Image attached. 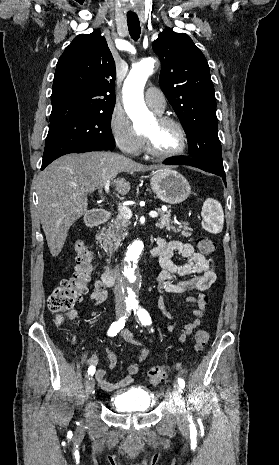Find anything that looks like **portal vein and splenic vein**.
<instances>
[{
	"label": "portal vein and splenic vein",
	"instance_id": "portal-vein-and-splenic-vein-1",
	"mask_svg": "<svg viewBox=\"0 0 279 465\" xmlns=\"http://www.w3.org/2000/svg\"><path fill=\"white\" fill-rule=\"evenodd\" d=\"M109 187H110V180L106 181L104 183V189L105 191L108 193L109 192ZM118 211H119V214L122 215L124 218L126 219H130L132 217V212L131 210L125 206V205H121L119 204L118 205ZM149 216L151 218H157L158 217V213L156 211H151L149 213Z\"/></svg>",
	"mask_w": 279,
	"mask_h": 465
}]
</instances>
